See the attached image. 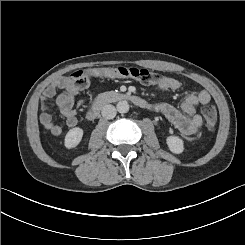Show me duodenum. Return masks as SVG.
<instances>
[{"label": "duodenum", "instance_id": "obj_1", "mask_svg": "<svg viewBox=\"0 0 245 245\" xmlns=\"http://www.w3.org/2000/svg\"><path fill=\"white\" fill-rule=\"evenodd\" d=\"M127 101L136 106L146 108L148 103L141 97L127 92H107L98 96L87 112V118L93 120L98 116L101 109L111 103Z\"/></svg>", "mask_w": 245, "mask_h": 245}]
</instances>
